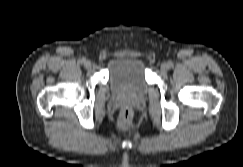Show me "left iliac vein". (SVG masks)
<instances>
[{"mask_svg":"<svg viewBox=\"0 0 243 167\" xmlns=\"http://www.w3.org/2000/svg\"><path fill=\"white\" fill-rule=\"evenodd\" d=\"M161 70H162L163 72H167V71L169 70V64L166 63V62L162 63V64H161Z\"/></svg>","mask_w":243,"mask_h":167,"instance_id":"obj_1","label":"left iliac vein"}]
</instances>
